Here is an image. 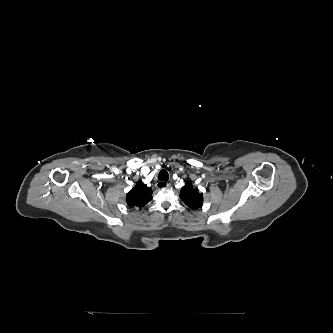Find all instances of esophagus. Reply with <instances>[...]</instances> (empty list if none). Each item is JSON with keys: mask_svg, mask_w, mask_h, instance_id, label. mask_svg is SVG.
<instances>
[{"mask_svg": "<svg viewBox=\"0 0 333 333\" xmlns=\"http://www.w3.org/2000/svg\"><path fill=\"white\" fill-rule=\"evenodd\" d=\"M156 186H157L158 188L162 189V188H169V187H170V184H169L168 182H166V181H158V182L156 183Z\"/></svg>", "mask_w": 333, "mask_h": 333, "instance_id": "34e87169", "label": "esophagus"}]
</instances>
